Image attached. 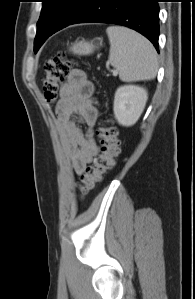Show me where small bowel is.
Returning <instances> with one entry per match:
<instances>
[{
    "instance_id": "c3829d8e",
    "label": "small bowel",
    "mask_w": 195,
    "mask_h": 299,
    "mask_svg": "<svg viewBox=\"0 0 195 299\" xmlns=\"http://www.w3.org/2000/svg\"><path fill=\"white\" fill-rule=\"evenodd\" d=\"M93 90L85 72L74 69L61 89L57 106L63 153L78 175L83 174L99 153V145L94 138L99 112L92 100ZM79 123L86 126L85 131Z\"/></svg>"
}]
</instances>
